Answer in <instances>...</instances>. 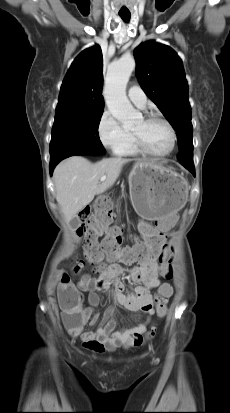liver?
Listing matches in <instances>:
<instances>
[{"label": "liver", "mask_w": 230, "mask_h": 413, "mask_svg": "<svg viewBox=\"0 0 230 413\" xmlns=\"http://www.w3.org/2000/svg\"><path fill=\"white\" fill-rule=\"evenodd\" d=\"M129 159L106 158L92 164L81 156L70 157L57 165L53 178L56 200L70 222L96 195L102 194L117 180ZM106 176L105 181H100Z\"/></svg>", "instance_id": "liver-1"}]
</instances>
